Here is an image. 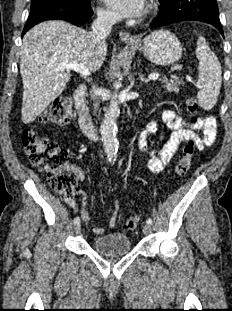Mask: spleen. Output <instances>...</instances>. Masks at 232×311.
<instances>
[{
	"label": "spleen",
	"instance_id": "3e777b00",
	"mask_svg": "<svg viewBox=\"0 0 232 311\" xmlns=\"http://www.w3.org/2000/svg\"><path fill=\"white\" fill-rule=\"evenodd\" d=\"M196 57L199 61V83L201 85L197 94L198 102L203 109L209 110L216 104L220 93L221 65L202 36L198 37Z\"/></svg>",
	"mask_w": 232,
	"mask_h": 311
}]
</instances>
